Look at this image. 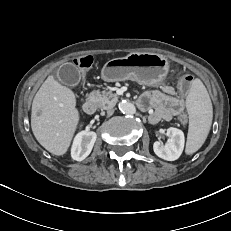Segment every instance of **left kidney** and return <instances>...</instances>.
I'll list each match as a JSON object with an SVG mask.
<instances>
[{
  "label": "left kidney",
  "mask_w": 231,
  "mask_h": 231,
  "mask_svg": "<svg viewBox=\"0 0 231 231\" xmlns=\"http://www.w3.org/2000/svg\"><path fill=\"white\" fill-rule=\"evenodd\" d=\"M166 134L169 137L165 144L159 141L154 142V153L167 161L177 160L183 152L185 137L182 130L170 127L166 130Z\"/></svg>",
  "instance_id": "5707ae66"
}]
</instances>
